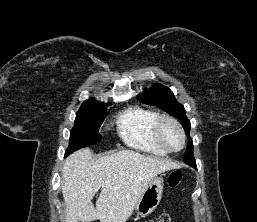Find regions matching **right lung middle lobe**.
<instances>
[{
	"label": "right lung middle lobe",
	"instance_id": "1",
	"mask_svg": "<svg viewBox=\"0 0 257 222\" xmlns=\"http://www.w3.org/2000/svg\"><path fill=\"white\" fill-rule=\"evenodd\" d=\"M106 108V105L97 104H85L80 107L70 133L69 147L65 156L102 139L99 128L106 116Z\"/></svg>",
	"mask_w": 257,
	"mask_h": 222
}]
</instances>
